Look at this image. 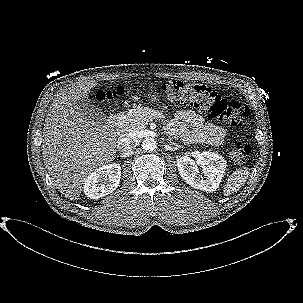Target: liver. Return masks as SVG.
<instances>
[{
	"label": "liver",
	"instance_id": "6515ba94",
	"mask_svg": "<svg viewBox=\"0 0 303 303\" xmlns=\"http://www.w3.org/2000/svg\"><path fill=\"white\" fill-rule=\"evenodd\" d=\"M86 80L58 93L45 118L42 155L54 185L78 200L88 175L109 163L116 153V133L83 115L77 101L97 86Z\"/></svg>",
	"mask_w": 303,
	"mask_h": 303
}]
</instances>
